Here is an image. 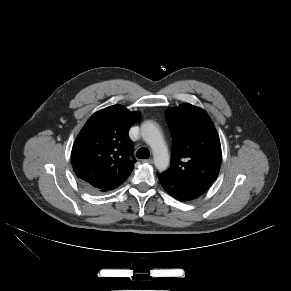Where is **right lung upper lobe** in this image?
Returning <instances> with one entry per match:
<instances>
[{
    "instance_id": "obj_1",
    "label": "right lung upper lobe",
    "mask_w": 291,
    "mask_h": 291,
    "mask_svg": "<svg viewBox=\"0 0 291 291\" xmlns=\"http://www.w3.org/2000/svg\"><path fill=\"white\" fill-rule=\"evenodd\" d=\"M139 118V112H129L121 105L104 108L89 118L71 152L73 169L82 182L106 190L127 180L133 169L128 129Z\"/></svg>"
}]
</instances>
